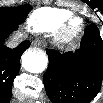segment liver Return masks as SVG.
I'll return each instance as SVG.
<instances>
[{
  "mask_svg": "<svg viewBox=\"0 0 103 103\" xmlns=\"http://www.w3.org/2000/svg\"><path fill=\"white\" fill-rule=\"evenodd\" d=\"M22 36V34L21 33H17V35L15 36V37H21ZM14 37V38H15Z\"/></svg>",
  "mask_w": 103,
  "mask_h": 103,
  "instance_id": "obj_1",
  "label": "liver"
}]
</instances>
